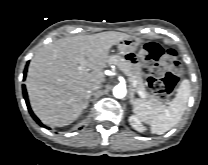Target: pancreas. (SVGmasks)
<instances>
[{
	"label": "pancreas",
	"instance_id": "pancreas-1",
	"mask_svg": "<svg viewBox=\"0 0 208 165\" xmlns=\"http://www.w3.org/2000/svg\"><path fill=\"white\" fill-rule=\"evenodd\" d=\"M108 63L117 65L133 82L134 86L137 88L143 98H148L151 102L161 104V100L158 97L151 95L146 91L142 75L131 62L119 55H111L109 57Z\"/></svg>",
	"mask_w": 208,
	"mask_h": 165
}]
</instances>
